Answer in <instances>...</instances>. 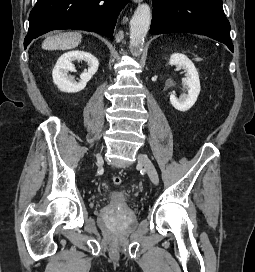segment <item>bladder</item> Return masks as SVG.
Segmentation results:
<instances>
[{
    "label": "bladder",
    "instance_id": "1",
    "mask_svg": "<svg viewBox=\"0 0 255 272\" xmlns=\"http://www.w3.org/2000/svg\"><path fill=\"white\" fill-rule=\"evenodd\" d=\"M107 203L113 204V205H128L129 197L123 191L114 190L109 193L108 198H107Z\"/></svg>",
    "mask_w": 255,
    "mask_h": 272
}]
</instances>
